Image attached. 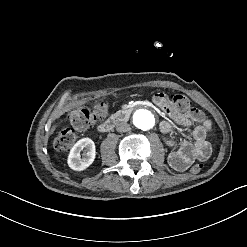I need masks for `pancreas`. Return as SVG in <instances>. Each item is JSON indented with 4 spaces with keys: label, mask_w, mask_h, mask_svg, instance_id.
<instances>
[{
    "label": "pancreas",
    "mask_w": 247,
    "mask_h": 247,
    "mask_svg": "<svg viewBox=\"0 0 247 247\" xmlns=\"http://www.w3.org/2000/svg\"><path fill=\"white\" fill-rule=\"evenodd\" d=\"M110 118H111V119L116 118V114H111V115H110Z\"/></svg>",
    "instance_id": "1"
}]
</instances>
